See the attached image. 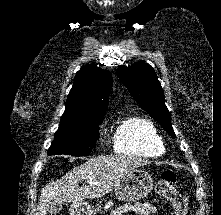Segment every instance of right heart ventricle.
Segmentation results:
<instances>
[{
	"label": "right heart ventricle",
	"instance_id": "1",
	"mask_svg": "<svg viewBox=\"0 0 221 215\" xmlns=\"http://www.w3.org/2000/svg\"><path fill=\"white\" fill-rule=\"evenodd\" d=\"M116 153L157 157L164 153L162 136L155 123L144 116L124 118L116 127L113 136Z\"/></svg>",
	"mask_w": 221,
	"mask_h": 215
}]
</instances>
